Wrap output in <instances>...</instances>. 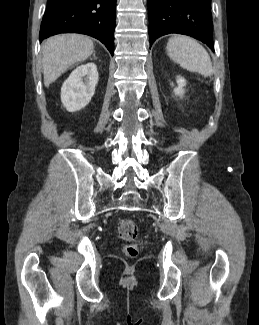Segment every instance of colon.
Returning a JSON list of instances; mask_svg holds the SVG:
<instances>
[{
	"mask_svg": "<svg viewBox=\"0 0 259 325\" xmlns=\"http://www.w3.org/2000/svg\"><path fill=\"white\" fill-rule=\"evenodd\" d=\"M118 237L128 242L123 246L122 252L127 258H134L139 253V244L137 239L139 230L137 224L130 219H122L117 224Z\"/></svg>",
	"mask_w": 259,
	"mask_h": 325,
	"instance_id": "5ec220e1",
	"label": "colon"
}]
</instances>
